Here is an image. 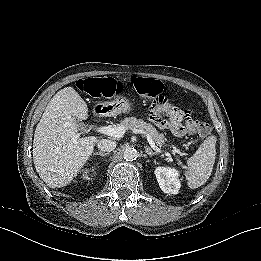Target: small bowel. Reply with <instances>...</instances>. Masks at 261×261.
Listing matches in <instances>:
<instances>
[{
    "mask_svg": "<svg viewBox=\"0 0 261 261\" xmlns=\"http://www.w3.org/2000/svg\"><path fill=\"white\" fill-rule=\"evenodd\" d=\"M150 114H151V119H152L160 128H162V129H164V128H169V129H170L168 122H166V121H164V120H159V118L155 117L152 113H150ZM186 126H187L188 130H191V129L193 128L194 124H193V122H191V121L188 120V121H186ZM170 130H171V129H170ZM172 132H173V131H172Z\"/></svg>",
    "mask_w": 261,
    "mask_h": 261,
    "instance_id": "small-bowel-1",
    "label": "small bowel"
}]
</instances>
